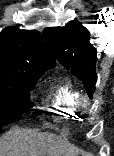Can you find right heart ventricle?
I'll return each mask as SVG.
<instances>
[{"label":"right heart ventricle","instance_id":"right-heart-ventricle-1","mask_svg":"<svg viewBox=\"0 0 114 156\" xmlns=\"http://www.w3.org/2000/svg\"><path fill=\"white\" fill-rule=\"evenodd\" d=\"M78 88L68 80L61 79L51 87L49 101L53 112L67 119L76 115Z\"/></svg>","mask_w":114,"mask_h":156}]
</instances>
